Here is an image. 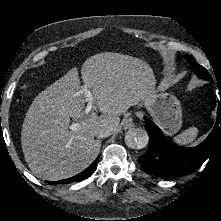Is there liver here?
<instances>
[{"mask_svg":"<svg viewBox=\"0 0 221 221\" xmlns=\"http://www.w3.org/2000/svg\"><path fill=\"white\" fill-rule=\"evenodd\" d=\"M82 80L101 112L85 114L86 97L76 68L39 93L30 105L21 132L25 160L33 175L56 181L73 176L97 157L98 129L119 128L120 115L149 97L153 70L132 56L105 52L88 58L81 67ZM71 118L80 124L69 130Z\"/></svg>","mask_w":221,"mask_h":221,"instance_id":"obj_1","label":"liver"}]
</instances>
